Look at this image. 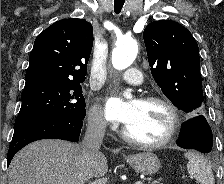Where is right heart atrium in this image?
Wrapping results in <instances>:
<instances>
[{"label":"right heart atrium","mask_w":224,"mask_h":184,"mask_svg":"<svg viewBox=\"0 0 224 184\" xmlns=\"http://www.w3.org/2000/svg\"><path fill=\"white\" fill-rule=\"evenodd\" d=\"M87 122L88 125L96 131H103L106 127V120L98 106H93L89 110L87 115Z\"/></svg>","instance_id":"obj_1"}]
</instances>
